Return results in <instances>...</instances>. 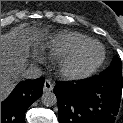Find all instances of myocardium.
I'll return each instance as SVG.
<instances>
[{
  "instance_id": "obj_1",
  "label": "myocardium",
  "mask_w": 123,
  "mask_h": 123,
  "mask_svg": "<svg viewBox=\"0 0 123 123\" xmlns=\"http://www.w3.org/2000/svg\"><path fill=\"white\" fill-rule=\"evenodd\" d=\"M92 45L100 48V56L89 65L78 68L77 61L81 58L84 52ZM105 60L104 47L97 41L88 40L69 54L61 58L59 62V72L67 80H81L92 76L103 64Z\"/></svg>"
}]
</instances>
